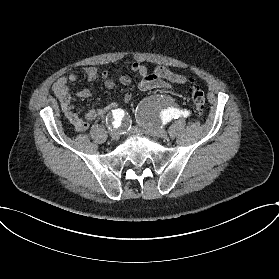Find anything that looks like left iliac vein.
Here are the masks:
<instances>
[{"label": "left iliac vein", "mask_w": 279, "mask_h": 279, "mask_svg": "<svg viewBox=\"0 0 279 279\" xmlns=\"http://www.w3.org/2000/svg\"><path fill=\"white\" fill-rule=\"evenodd\" d=\"M148 132L150 134H152L153 136H156L158 138H166L168 136L167 131L164 128L158 126V125L155 126V127H150L148 129Z\"/></svg>", "instance_id": "1"}]
</instances>
